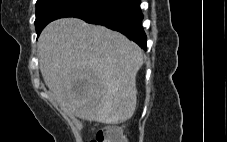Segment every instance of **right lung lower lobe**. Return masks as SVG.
<instances>
[{"mask_svg": "<svg viewBox=\"0 0 227 142\" xmlns=\"http://www.w3.org/2000/svg\"><path fill=\"white\" fill-rule=\"evenodd\" d=\"M76 18L119 31L141 48L147 49V37L141 26L143 15L140 10V0H112L107 5L78 15Z\"/></svg>", "mask_w": 227, "mask_h": 142, "instance_id": "98d812e1", "label": "right lung lower lobe"}]
</instances>
